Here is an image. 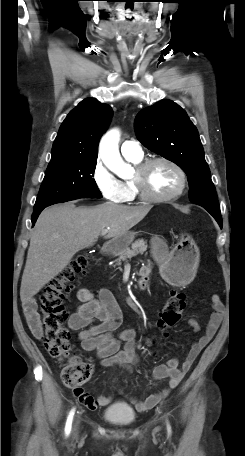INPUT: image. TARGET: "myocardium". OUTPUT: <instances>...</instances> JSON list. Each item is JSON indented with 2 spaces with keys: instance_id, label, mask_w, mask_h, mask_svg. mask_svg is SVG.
Wrapping results in <instances>:
<instances>
[{
  "instance_id": "obj_1",
  "label": "myocardium",
  "mask_w": 245,
  "mask_h": 456,
  "mask_svg": "<svg viewBox=\"0 0 245 456\" xmlns=\"http://www.w3.org/2000/svg\"><path fill=\"white\" fill-rule=\"evenodd\" d=\"M157 163H165L171 166L178 173L180 178V184L178 189L175 192L166 196H158L152 194L147 186V173L149 169ZM133 183L141 199L153 203H162L175 200L184 193L187 185V176L185 171L173 160L165 157H155L146 159L136 166Z\"/></svg>"
}]
</instances>
